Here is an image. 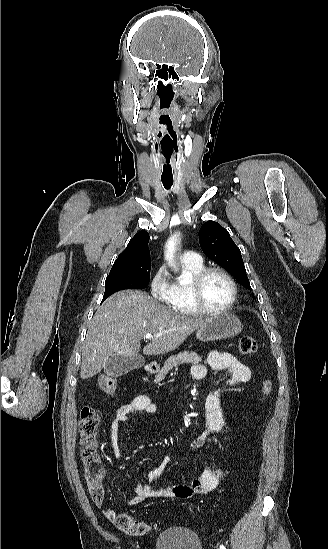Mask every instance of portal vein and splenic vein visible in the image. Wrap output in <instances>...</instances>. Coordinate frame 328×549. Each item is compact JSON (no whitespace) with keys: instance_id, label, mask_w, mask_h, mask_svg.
<instances>
[{"instance_id":"1","label":"portal vein and splenic vein","mask_w":328,"mask_h":549,"mask_svg":"<svg viewBox=\"0 0 328 549\" xmlns=\"http://www.w3.org/2000/svg\"><path fill=\"white\" fill-rule=\"evenodd\" d=\"M161 335H165V333H159V335H151V333H147L144 339H154V337H161Z\"/></svg>"}]
</instances>
